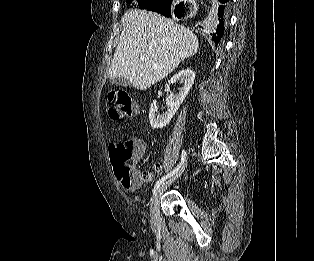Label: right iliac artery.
<instances>
[{"label": "right iliac artery", "instance_id": "1", "mask_svg": "<svg viewBox=\"0 0 314 261\" xmlns=\"http://www.w3.org/2000/svg\"><path fill=\"white\" fill-rule=\"evenodd\" d=\"M186 159V151L183 150L182 154H181V161L179 162V164L177 165L176 168H174L171 172L167 173L165 176L161 177L155 184L154 186V192L159 188V186L169 177L173 176L174 174H176L179 169L181 168L182 164L184 163Z\"/></svg>", "mask_w": 314, "mask_h": 261}]
</instances>
